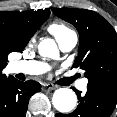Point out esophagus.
<instances>
[{
	"label": "esophagus",
	"instance_id": "obj_1",
	"mask_svg": "<svg viewBox=\"0 0 117 117\" xmlns=\"http://www.w3.org/2000/svg\"><path fill=\"white\" fill-rule=\"evenodd\" d=\"M55 88H56V86L53 85V84H50V83H45V84H43V87H42V89H43L44 91H52V90H54Z\"/></svg>",
	"mask_w": 117,
	"mask_h": 117
}]
</instances>
